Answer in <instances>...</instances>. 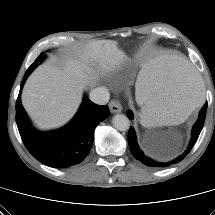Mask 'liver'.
<instances>
[{
  "label": "liver",
  "instance_id": "obj_1",
  "mask_svg": "<svg viewBox=\"0 0 215 215\" xmlns=\"http://www.w3.org/2000/svg\"><path fill=\"white\" fill-rule=\"evenodd\" d=\"M124 58L115 41L86 44L62 65H40L24 85L22 104L38 128L60 127L74 116L83 89L92 83V66L97 63L101 69L109 71Z\"/></svg>",
  "mask_w": 215,
  "mask_h": 215
}]
</instances>
